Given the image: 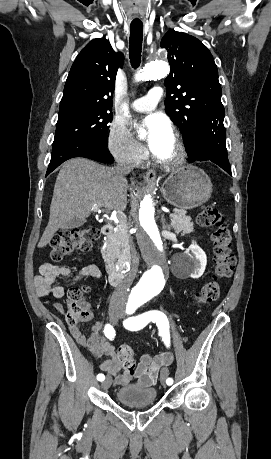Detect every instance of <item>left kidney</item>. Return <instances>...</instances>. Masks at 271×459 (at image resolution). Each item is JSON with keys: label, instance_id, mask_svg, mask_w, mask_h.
Masks as SVG:
<instances>
[{"label": "left kidney", "instance_id": "obj_1", "mask_svg": "<svg viewBox=\"0 0 271 459\" xmlns=\"http://www.w3.org/2000/svg\"><path fill=\"white\" fill-rule=\"evenodd\" d=\"M186 255H188L189 267L187 273L189 277H194V279L201 277L207 263L205 251L197 245L196 241H192L186 251Z\"/></svg>", "mask_w": 271, "mask_h": 459}]
</instances>
